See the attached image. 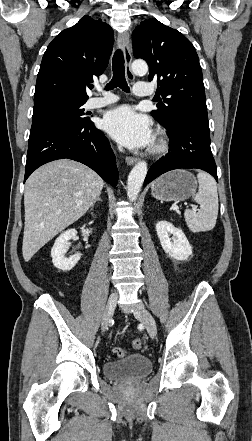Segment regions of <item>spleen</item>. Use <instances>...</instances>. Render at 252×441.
<instances>
[{"mask_svg": "<svg viewBox=\"0 0 252 441\" xmlns=\"http://www.w3.org/2000/svg\"><path fill=\"white\" fill-rule=\"evenodd\" d=\"M199 189L194 201L200 204L198 212L185 210L184 218L189 229L196 232H205L215 227L218 215V193L214 178L205 172L197 174Z\"/></svg>", "mask_w": 252, "mask_h": 441, "instance_id": "spleen-1", "label": "spleen"}]
</instances>
